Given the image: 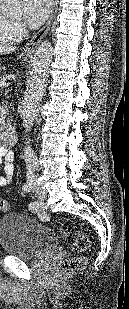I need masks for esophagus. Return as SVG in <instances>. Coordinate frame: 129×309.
<instances>
[{
    "instance_id": "obj_1",
    "label": "esophagus",
    "mask_w": 129,
    "mask_h": 309,
    "mask_svg": "<svg viewBox=\"0 0 129 309\" xmlns=\"http://www.w3.org/2000/svg\"><path fill=\"white\" fill-rule=\"evenodd\" d=\"M57 2H58L57 0H54L53 6H52V11H51L50 17H49L48 21L46 22V24L31 38V40L27 43V45L23 49L24 55L31 56L34 53L36 47L39 45V43L42 41V39L48 33V31H49V29L52 25L55 13H56Z\"/></svg>"
}]
</instances>
